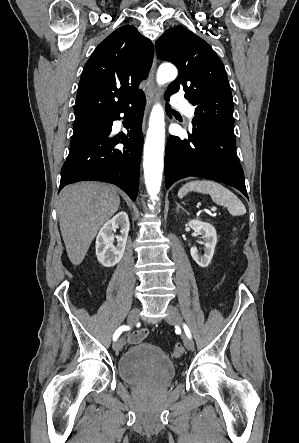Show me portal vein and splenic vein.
I'll return each mask as SVG.
<instances>
[{"instance_id": "1", "label": "portal vein and splenic vein", "mask_w": 299, "mask_h": 443, "mask_svg": "<svg viewBox=\"0 0 299 443\" xmlns=\"http://www.w3.org/2000/svg\"><path fill=\"white\" fill-rule=\"evenodd\" d=\"M216 210V207H213L212 209H211V211H215Z\"/></svg>"}]
</instances>
